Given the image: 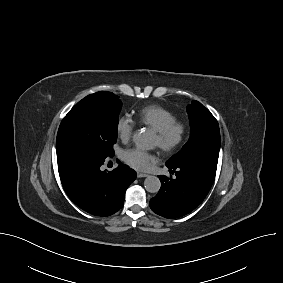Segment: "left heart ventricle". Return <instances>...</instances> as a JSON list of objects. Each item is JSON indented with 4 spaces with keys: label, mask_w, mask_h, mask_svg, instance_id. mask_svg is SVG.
I'll return each instance as SVG.
<instances>
[{
    "label": "left heart ventricle",
    "mask_w": 283,
    "mask_h": 283,
    "mask_svg": "<svg viewBox=\"0 0 283 283\" xmlns=\"http://www.w3.org/2000/svg\"><path fill=\"white\" fill-rule=\"evenodd\" d=\"M154 143H155V145H157V146L159 145V138H158L157 135L155 136Z\"/></svg>",
    "instance_id": "b2bd125f"
}]
</instances>
